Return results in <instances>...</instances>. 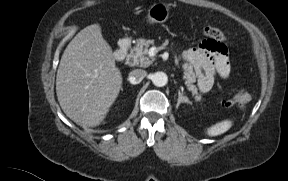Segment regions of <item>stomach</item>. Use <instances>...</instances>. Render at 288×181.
<instances>
[{"label": "stomach", "instance_id": "obj_1", "mask_svg": "<svg viewBox=\"0 0 288 181\" xmlns=\"http://www.w3.org/2000/svg\"><path fill=\"white\" fill-rule=\"evenodd\" d=\"M169 15L170 9L165 3H154L147 10L146 22L148 24L163 23L169 18ZM126 42L127 39H124L121 43L124 45Z\"/></svg>", "mask_w": 288, "mask_h": 181}]
</instances>
